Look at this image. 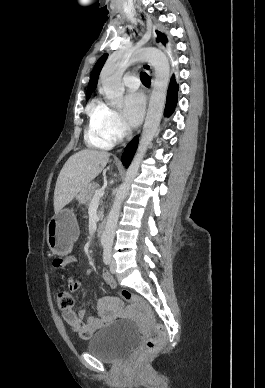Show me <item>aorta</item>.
I'll list each match as a JSON object with an SVG mask.
<instances>
[{
	"label": "aorta",
	"mask_w": 265,
	"mask_h": 388,
	"mask_svg": "<svg viewBox=\"0 0 265 388\" xmlns=\"http://www.w3.org/2000/svg\"><path fill=\"white\" fill-rule=\"evenodd\" d=\"M138 60L147 61L154 67L155 80L137 152L127 169L124 182L116 193L112 208L107 217L106 226L101 237L103 247H111L113 244L121 204L127 196L130 186L138 174L147 148L158 130L169 84V60L162 51L155 48L117 51L110 56L101 72L103 90L111 106L119 107L122 105L124 86L121 78L123 72L130 63Z\"/></svg>",
	"instance_id": "aorta-1"
}]
</instances>
